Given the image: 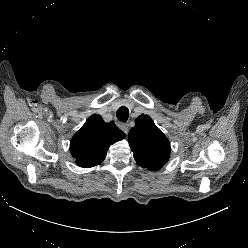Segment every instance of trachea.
I'll list each match as a JSON object with an SVG mask.
<instances>
[{"label": "trachea", "mask_w": 248, "mask_h": 248, "mask_svg": "<svg viewBox=\"0 0 248 248\" xmlns=\"http://www.w3.org/2000/svg\"><path fill=\"white\" fill-rule=\"evenodd\" d=\"M117 118L122 121V122H126L128 120L129 117V110L127 107H120L116 113Z\"/></svg>", "instance_id": "trachea-1"}]
</instances>
